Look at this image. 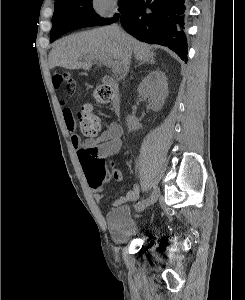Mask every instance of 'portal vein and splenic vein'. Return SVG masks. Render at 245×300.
<instances>
[{
    "label": "portal vein and splenic vein",
    "mask_w": 245,
    "mask_h": 300,
    "mask_svg": "<svg viewBox=\"0 0 245 300\" xmlns=\"http://www.w3.org/2000/svg\"><path fill=\"white\" fill-rule=\"evenodd\" d=\"M100 61L106 64L108 67H110L114 73L116 74L121 73L122 69L117 62H113L109 59H101Z\"/></svg>",
    "instance_id": "portal-vein-and-splenic-vein-1"
}]
</instances>
